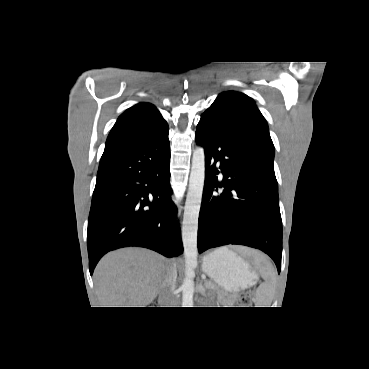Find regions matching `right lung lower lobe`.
<instances>
[{
  "instance_id": "obj_1",
  "label": "right lung lower lobe",
  "mask_w": 369,
  "mask_h": 369,
  "mask_svg": "<svg viewBox=\"0 0 369 369\" xmlns=\"http://www.w3.org/2000/svg\"><path fill=\"white\" fill-rule=\"evenodd\" d=\"M168 131L102 156L88 219L91 275L100 258L117 248L140 246L166 257L182 252Z\"/></svg>"
}]
</instances>
